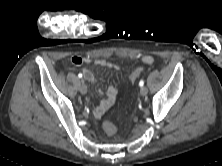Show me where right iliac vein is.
Wrapping results in <instances>:
<instances>
[{
	"instance_id": "right-iliac-vein-1",
	"label": "right iliac vein",
	"mask_w": 222,
	"mask_h": 166,
	"mask_svg": "<svg viewBox=\"0 0 222 166\" xmlns=\"http://www.w3.org/2000/svg\"><path fill=\"white\" fill-rule=\"evenodd\" d=\"M79 90L80 93L84 95L87 93V86L85 84H81Z\"/></svg>"
}]
</instances>
